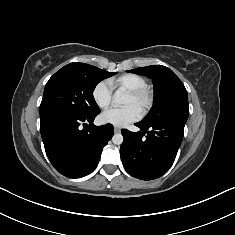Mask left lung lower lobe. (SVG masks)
Listing matches in <instances>:
<instances>
[{
    "label": "left lung lower lobe",
    "instance_id": "1",
    "mask_svg": "<svg viewBox=\"0 0 235 235\" xmlns=\"http://www.w3.org/2000/svg\"><path fill=\"white\" fill-rule=\"evenodd\" d=\"M185 123L177 119H162L136 123L139 132L122 130L124 141L120 155L125 170L142 180H153L165 174L177 155Z\"/></svg>",
    "mask_w": 235,
    "mask_h": 235
}]
</instances>
